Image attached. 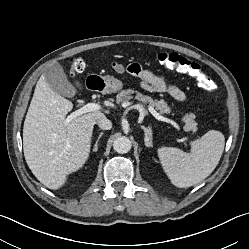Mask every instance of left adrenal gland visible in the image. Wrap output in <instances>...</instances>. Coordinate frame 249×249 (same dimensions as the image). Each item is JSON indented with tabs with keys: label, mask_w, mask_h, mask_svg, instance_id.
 Masks as SVG:
<instances>
[{
	"label": "left adrenal gland",
	"mask_w": 249,
	"mask_h": 249,
	"mask_svg": "<svg viewBox=\"0 0 249 249\" xmlns=\"http://www.w3.org/2000/svg\"><path fill=\"white\" fill-rule=\"evenodd\" d=\"M141 128L144 131V142L146 146H150V140H151V128L150 127H145L141 125Z\"/></svg>",
	"instance_id": "obj_1"
}]
</instances>
